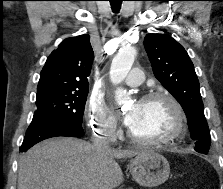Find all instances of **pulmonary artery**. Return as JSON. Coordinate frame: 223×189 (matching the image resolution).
<instances>
[{"mask_svg": "<svg viewBox=\"0 0 223 189\" xmlns=\"http://www.w3.org/2000/svg\"><path fill=\"white\" fill-rule=\"evenodd\" d=\"M144 75L141 69L133 68L128 76L124 79V83L130 87L140 86L143 82Z\"/></svg>", "mask_w": 223, "mask_h": 189, "instance_id": "e3ab8cb5", "label": "pulmonary artery"}]
</instances>
